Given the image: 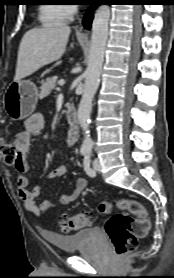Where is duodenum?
<instances>
[{"instance_id":"duodenum-1","label":"duodenum","mask_w":174,"mask_h":278,"mask_svg":"<svg viewBox=\"0 0 174 278\" xmlns=\"http://www.w3.org/2000/svg\"><path fill=\"white\" fill-rule=\"evenodd\" d=\"M65 117L68 122V140L74 142L79 134V122L77 112L72 105L66 106Z\"/></svg>"}]
</instances>
